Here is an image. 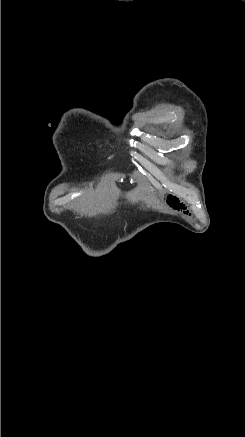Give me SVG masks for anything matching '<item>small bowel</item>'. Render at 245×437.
<instances>
[{"mask_svg": "<svg viewBox=\"0 0 245 437\" xmlns=\"http://www.w3.org/2000/svg\"><path fill=\"white\" fill-rule=\"evenodd\" d=\"M169 201H170V205L172 206L173 209L183 211V212L186 211V207L178 199H176L174 197H170Z\"/></svg>", "mask_w": 245, "mask_h": 437, "instance_id": "c3829d8e", "label": "small bowel"}]
</instances>
